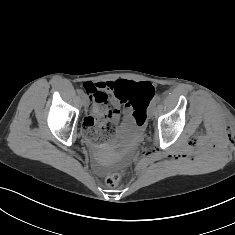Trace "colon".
<instances>
[{
  "instance_id": "obj_1",
  "label": "colon",
  "mask_w": 235,
  "mask_h": 235,
  "mask_svg": "<svg viewBox=\"0 0 235 235\" xmlns=\"http://www.w3.org/2000/svg\"><path fill=\"white\" fill-rule=\"evenodd\" d=\"M154 94V89L150 83L142 82V83H129L127 88L124 91H121L119 96L124 99L125 102H128L132 108L134 109V119L136 125L143 129L147 122V114L145 110V106L142 101L144 98H150ZM96 100L99 103H104L106 101V96L97 94ZM107 118V114L105 111L98 113L93 116L91 119L97 126H100L105 122ZM109 133L107 132L102 138L107 137ZM125 175L124 169H118L109 173L106 177V183L110 187L117 186L122 178Z\"/></svg>"
}]
</instances>
